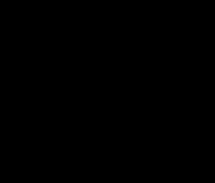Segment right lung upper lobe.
I'll use <instances>...</instances> for the list:
<instances>
[{
    "label": "right lung upper lobe",
    "instance_id": "obj_1",
    "mask_svg": "<svg viewBox=\"0 0 215 183\" xmlns=\"http://www.w3.org/2000/svg\"><path fill=\"white\" fill-rule=\"evenodd\" d=\"M110 34L111 29L103 27L62 29L42 41L28 59H36L46 71L55 73L65 72L69 61L92 72L102 44Z\"/></svg>",
    "mask_w": 215,
    "mask_h": 183
}]
</instances>
